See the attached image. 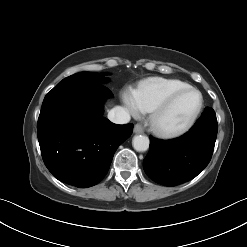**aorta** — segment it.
Returning <instances> with one entry per match:
<instances>
[{"mask_svg": "<svg viewBox=\"0 0 247 247\" xmlns=\"http://www.w3.org/2000/svg\"><path fill=\"white\" fill-rule=\"evenodd\" d=\"M134 149L138 152H145L149 148V138L144 135H136L132 140Z\"/></svg>", "mask_w": 247, "mask_h": 247, "instance_id": "obj_1", "label": "aorta"}]
</instances>
